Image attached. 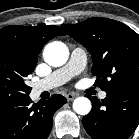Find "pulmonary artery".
Returning <instances> with one entry per match:
<instances>
[{
  "instance_id": "pulmonary-artery-1",
  "label": "pulmonary artery",
  "mask_w": 139,
  "mask_h": 139,
  "mask_svg": "<svg viewBox=\"0 0 139 139\" xmlns=\"http://www.w3.org/2000/svg\"><path fill=\"white\" fill-rule=\"evenodd\" d=\"M87 62V56L82 48H75L71 52L69 61L61 68L55 70L45 78L32 85V94L34 96L40 95L44 91H48L69 81L72 77L81 73ZM107 93L101 91L99 97L106 98Z\"/></svg>"
}]
</instances>
